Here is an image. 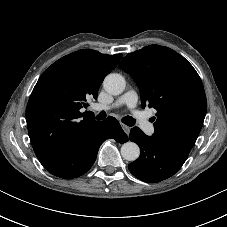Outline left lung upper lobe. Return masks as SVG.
Instances as JSON below:
<instances>
[{"label":"left lung upper lobe","instance_id":"1","mask_svg":"<svg viewBox=\"0 0 227 227\" xmlns=\"http://www.w3.org/2000/svg\"><path fill=\"white\" fill-rule=\"evenodd\" d=\"M119 67L137 83L142 107L157 110L154 135L189 154L207 111L204 87L193 66L170 48L150 45L129 53Z\"/></svg>","mask_w":227,"mask_h":227}]
</instances>
